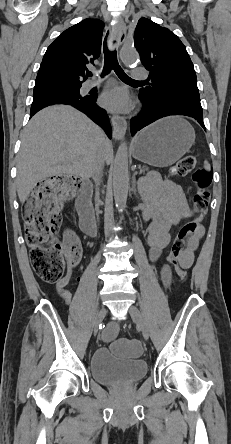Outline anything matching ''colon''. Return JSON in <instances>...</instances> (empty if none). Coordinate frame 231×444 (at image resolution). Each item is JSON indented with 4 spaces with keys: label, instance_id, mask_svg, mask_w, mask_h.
I'll list each match as a JSON object with an SVG mask.
<instances>
[{
    "label": "colon",
    "instance_id": "obj_1",
    "mask_svg": "<svg viewBox=\"0 0 231 444\" xmlns=\"http://www.w3.org/2000/svg\"><path fill=\"white\" fill-rule=\"evenodd\" d=\"M196 164L197 156L188 154L170 169L173 177L181 178L192 174L195 186L193 204L196 214L180 226L169 251V259L174 265L176 275L182 280L187 276V268L181 263L187 239L197 231L210 200L211 175L204 169L196 168ZM81 184V180L75 177L53 176L41 181L27 201L24 226L31 263L36 274L47 283L59 282L65 271H69L80 258L60 243L56 233L62 221V205L80 189ZM113 347L115 350L129 349L132 353L140 351V344L135 340L118 339Z\"/></svg>",
    "mask_w": 231,
    "mask_h": 444
}]
</instances>
